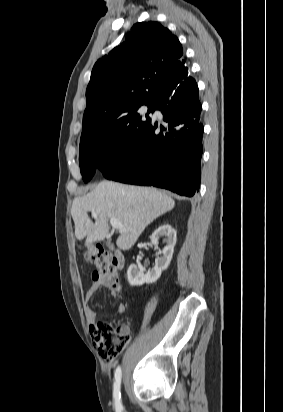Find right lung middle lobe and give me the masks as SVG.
Here are the masks:
<instances>
[{
    "label": "right lung middle lobe",
    "mask_w": 283,
    "mask_h": 412,
    "mask_svg": "<svg viewBox=\"0 0 283 412\" xmlns=\"http://www.w3.org/2000/svg\"><path fill=\"white\" fill-rule=\"evenodd\" d=\"M144 106L148 110L144 112ZM155 103L137 105L123 114L108 130L80 140L79 164L84 182L90 181L102 166L123 157L151 121Z\"/></svg>",
    "instance_id": "1"
}]
</instances>
